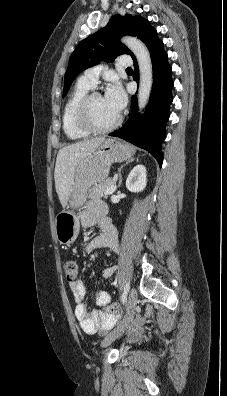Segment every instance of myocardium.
I'll return each instance as SVG.
<instances>
[{
  "mask_svg": "<svg viewBox=\"0 0 227 396\" xmlns=\"http://www.w3.org/2000/svg\"><path fill=\"white\" fill-rule=\"evenodd\" d=\"M100 95L101 93L96 90L87 92L82 97L77 107V121L79 125L86 131L94 134H101L112 131L117 128L122 121V116L119 114L117 118L107 126H98L95 124L91 116L90 106L92 99Z\"/></svg>",
  "mask_w": 227,
  "mask_h": 396,
  "instance_id": "f54148a6",
  "label": "myocardium"
}]
</instances>
